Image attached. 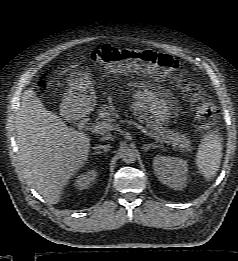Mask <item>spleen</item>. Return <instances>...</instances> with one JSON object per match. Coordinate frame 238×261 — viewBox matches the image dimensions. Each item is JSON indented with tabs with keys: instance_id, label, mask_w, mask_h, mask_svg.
Listing matches in <instances>:
<instances>
[{
	"instance_id": "1",
	"label": "spleen",
	"mask_w": 238,
	"mask_h": 261,
	"mask_svg": "<svg viewBox=\"0 0 238 261\" xmlns=\"http://www.w3.org/2000/svg\"><path fill=\"white\" fill-rule=\"evenodd\" d=\"M222 158V138L216 132H210L199 145L196 166L208 181L212 180L220 167Z\"/></svg>"
}]
</instances>
